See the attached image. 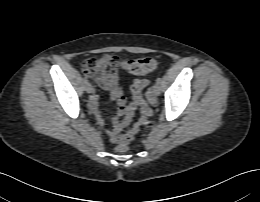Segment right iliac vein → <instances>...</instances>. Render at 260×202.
<instances>
[{"instance_id":"right-iliac-vein-1","label":"right iliac vein","mask_w":260,"mask_h":202,"mask_svg":"<svg viewBox=\"0 0 260 202\" xmlns=\"http://www.w3.org/2000/svg\"><path fill=\"white\" fill-rule=\"evenodd\" d=\"M85 90H86V92L87 93H92L93 92V87H92V85L90 84V83H87L86 85H85Z\"/></svg>"}]
</instances>
